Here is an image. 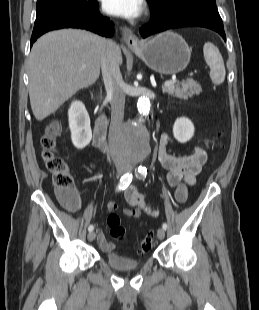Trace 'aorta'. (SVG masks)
I'll use <instances>...</instances> for the list:
<instances>
[{"label":"aorta","instance_id":"1","mask_svg":"<svg viewBox=\"0 0 259 310\" xmlns=\"http://www.w3.org/2000/svg\"><path fill=\"white\" fill-rule=\"evenodd\" d=\"M136 108L140 118L127 124L121 131L119 146L129 159L142 160L150 152L149 132L143 123V119L150 113L151 102L147 97H140Z\"/></svg>","mask_w":259,"mask_h":310}]
</instances>
